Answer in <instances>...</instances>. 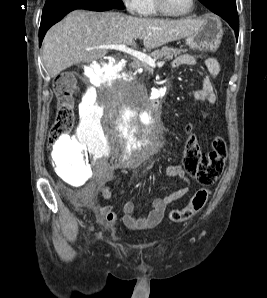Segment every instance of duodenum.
I'll return each mask as SVG.
<instances>
[{"label":"duodenum","instance_id":"410a0bca","mask_svg":"<svg viewBox=\"0 0 267 298\" xmlns=\"http://www.w3.org/2000/svg\"><path fill=\"white\" fill-rule=\"evenodd\" d=\"M121 64L124 66V63ZM108 86L114 87L115 83L109 82ZM160 103H162V98H148V100H146V105H151L150 112H160V109H165V104Z\"/></svg>","mask_w":267,"mask_h":298}]
</instances>
